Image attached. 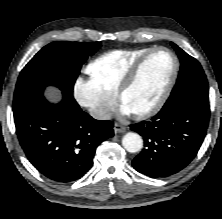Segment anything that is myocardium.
I'll list each match as a JSON object with an SVG mask.
<instances>
[{
	"instance_id": "myocardium-1",
	"label": "myocardium",
	"mask_w": 222,
	"mask_h": 219,
	"mask_svg": "<svg viewBox=\"0 0 222 219\" xmlns=\"http://www.w3.org/2000/svg\"><path fill=\"white\" fill-rule=\"evenodd\" d=\"M161 51L167 52L171 55V57L173 59L172 71H171L170 77L167 81V84H166L162 94L158 98V100L148 109L138 112V113H133V116L138 120H142V119H146V118L154 116L162 109V107L164 106V104L168 100V98L172 92V89L175 85V82H176V79L178 76V72H179V68H180L179 59H178L177 55L175 54V52L173 50H171L170 48L163 47V46L154 47V48L149 49L144 54H142L131 65V67L127 70V72L122 77V79L116 89L114 96L119 103H122V99H123L124 95L130 90V88L135 83V81L138 77V74L140 72V69L143 66L144 62L147 60V58L150 57L152 54L157 53V52H161Z\"/></svg>"
}]
</instances>
